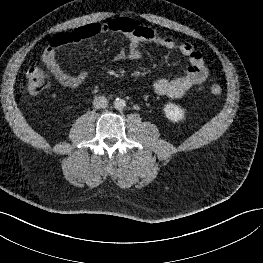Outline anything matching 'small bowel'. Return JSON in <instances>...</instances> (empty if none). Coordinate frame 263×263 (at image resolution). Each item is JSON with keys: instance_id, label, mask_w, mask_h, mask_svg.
<instances>
[{"instance_id": "1", "label": "small bowel", "mask_w": 263, "mask_h": 263, "mask_svg": "<svg viewBox=\"0 0 263 263\" xmlns=\"http://www.w3.org/2000/svg\"><path fill=\"white\" fill-rule=\"evenodd\" d=\"M121 33L127 38V48L121 56L138 60L142 56L141 46L154 43L166 49L177 50L187 57L190 65L185 73L175 78H160L155 81L153 88L158 95L171 98L182 97L195 85L203 83L208 77V69L199 51L189 42H178L170 36H163L155 29L137 24L130 18H118L104 23L89 24L69 32L55 34L43 53V62L61 85L70 89L81 86L87 73L81 71L76 75L67 73L57 62V50L67 45L79 43L98 36Z\"/></svg>"}]
</instances>
